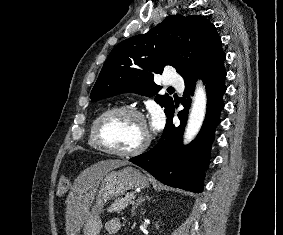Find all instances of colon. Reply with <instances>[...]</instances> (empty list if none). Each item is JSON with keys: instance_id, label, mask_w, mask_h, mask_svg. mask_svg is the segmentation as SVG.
I'll use <instances>...</instances> for the list:
<instances>
[{"instance_id": "colon-1", "label": "colon", "mask_w": 283, "mask_h": 235, "mask_svg": "<svg viewBox=\"0 0 283 235\" xmlns=\"http://www.w3.org/2000/svg\"><path fill=\"white\" fill-rule=\"evenodd\" d=\"M69 178L65 175L61 176L58 182L57 192L59 194H64L69 188Z\"/></svg>"}]
</instances>
